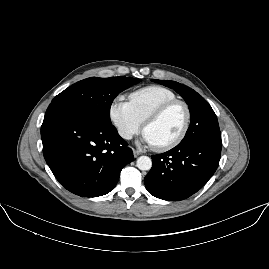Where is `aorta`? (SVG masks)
<instances>
[{
    "label": "aorta",
    "instance_id": "obj_1",
    "mask_svg": "<svg viewBox=\"0 0 269 269\" xmlns=\"http://www.w3.org/2000/svg\"><path fill=\"white\" fill-rule=\"evenodd\" d=\"M137 168L141 171H149L152 168V160L148 156H140L137 159Z\"/></svg>",
    "mask_w": 269,
    "mask_h": 269
}]
</instances>
